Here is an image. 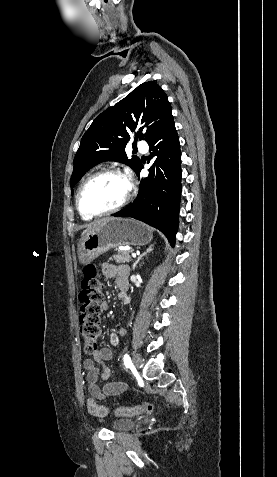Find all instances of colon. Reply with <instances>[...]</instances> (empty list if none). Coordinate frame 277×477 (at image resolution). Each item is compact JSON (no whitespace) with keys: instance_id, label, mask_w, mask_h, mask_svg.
Masks as SVG:
<instances>
[{"instance_id":"1","label":"colon","mask_w":277,"mask_h":477,"mask_svg":"<svg viewBox=\"0 0 277 477\" xmlns=\"http://www.w3.org/2000/svg\"><path fill=\"white\" fill-rule=\"evenodd\" d=\"M83 280L79 292V325L80 334L87 353L96 350L97 340L100 336V314L103 310L102 282L93 265H88L83 271ZM88 410L91 415L105 417L110 411L105 406L97 404L93 399L88 400ZM153 410V404L143 403L134 407H118L112 412L116 416H134L141 413H149Z\"/></svg>"}]
</instances>
